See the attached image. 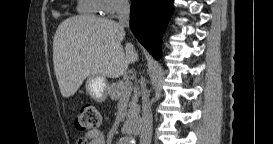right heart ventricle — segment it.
<instances>
[{"mask_svg": "<svg viewBox=\"0 0 273 144\" xmlns=\"http://www.w3.org/2000/svg\"><path fill=\"white\" fill-rule=\"evenodd\" d=\"M78 11L84 15H95L99 11L97 0H82L78 5Z\"/></svg>", "mask_w": 273, "mask_h": 144, "instance_id": "1", "label": "right heart ventricle"}]
</instances>
